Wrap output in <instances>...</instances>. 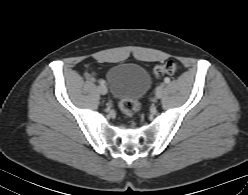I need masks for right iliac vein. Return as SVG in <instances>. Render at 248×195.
I'll return each instance as SVG.
<instances>
[{"mask_svg": "<svg viewBox=\"0 0 248 195\" xmlns=\"http://www.w3.org/2000/svg\"><path fill=\"white\" fill-rule=\"evenodd\" d=\"M97 89L98 92L102 95H105L107 93V87L105 85H100Z\"/></svg>", "mask_w": 248, "mask_h": 195, "instance_id": "right-iliac-vein-1", "label": "right iliac vein"}]
</instances>
